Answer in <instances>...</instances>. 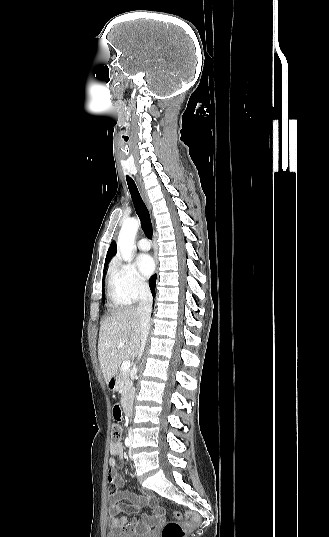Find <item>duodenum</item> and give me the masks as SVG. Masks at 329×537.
<instances>
[{
  "mask_svg": "<svg viewBox=\"0 0 329 537\" xmlns=\"http://www.w3.org/2000/svg\"><path fill=\"white\" fill-rule=\"evenodd\" d=\"M108 387L111 389V390H114L116 388V379L115 378H111L108 382ZM122 409L124 411V413L126 415H129L130 413V406L127 402H123L122 403Z\"/></svg>",
  "mask_w": 329,
  "mask_h": 537,
  "instance_id": "1",
  "label": "duodenum"
}]
</instances>
